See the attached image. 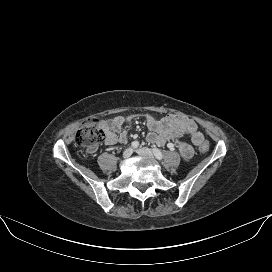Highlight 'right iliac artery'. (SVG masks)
Wrapping results in <instances>:
<instances>
[{
	"label": "right iliac artery",
	"mask_w": 272,
	"mask_h": 272,
	"mask_svg": "<svg viewBox=\"0 0 272 272\" xmlns=\"http://www.w3.org/2000/svg\"><path fill=\"white\" fill-rule=\"evenodd\" d=\"M138 146H139V142L138 141H133L131 143V147L134 148V149H136Z\"/></svg>",
	"instance_id": "82829eb1"
}]
</instances>
